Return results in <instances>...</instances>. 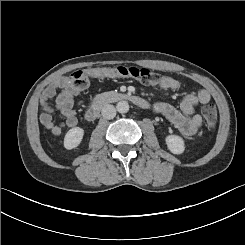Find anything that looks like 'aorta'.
<instances>
[{
  "instance_id": "762f6f07",
  "label": "aorta",
  "mask_w": 245,
  "mask_h": 245,
  "mask_svg": "<svg viewBox=\"0 0 245 245\" xmlns=\"http://www.w3.org/2000/svg\"><path fill=\"white\" fill-rule=\"evenodd\" d=\"M116 108L119 113L124 114L129 111V104L127 101H119Z\"/></svg>"
}]
</instances>
